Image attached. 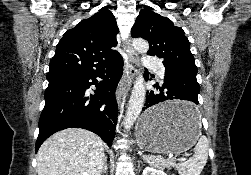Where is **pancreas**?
<instances>
[{"label":"pancreas","mask_w":251,"mask_h":175,"mask_svg":"<svg viewBox=\"0 0 251 175\" xmlns=\"http://www.w3.org/2000/svg\"><path fill=\"white\" fill-rule=\"evenodd\" d=\"M148 159V163H150V165L159 167V169H164V167H168V165H174V161H172V159H163V157H159V155H150Z\"/></svg>","instance_id":"cf45deb5"}]
</instances>
